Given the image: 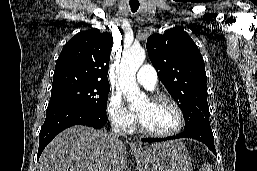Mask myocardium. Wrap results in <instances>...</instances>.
Here are the masks:
<instances>
[{
  "instance_id": "f54148a6",
  "label": "myocardium",
  "mask_w": 257,
  "mask_h": 171,
  "mask_svg": "<svg viewBox=\"0 0 257 171\" xmlns=\"http://www.w3.org/2000/svg\"><path fill=\"white\" fill-rule=\"evenodd\" d=\"M150 101L152 103H161V102L169 103L177 113L178 123H177L176 127H174L172 130H169L166 132H158V131L150 130L147 127H145L144 124L142 123L139 115H137L138 129L146 135L158 137V138H167V137H172V136L178 134L185 125V116H184L183 110L181 109L180 105L173 98L166 96V95L154 96L151 98Z\"/></svg>"
}]
</instances>
